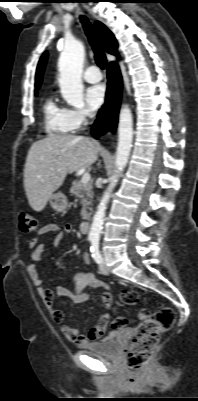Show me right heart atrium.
Wrapping results in <instances>:
<instances>
[{
	"mask_svg": "<svg viewBox=\"0 0 198 401\" xmlns=\"http://www.w3.org/2000/svg\"><path fill=\"white\" fill-rule=\"evenodd\" d=\"M68 112L74 129H79L93 117V113L87 108L68 109Z\"/></svg>",
	"mask_w": 198,
	"mask_h": 401,
	"instance_id": "d8ad5b80",
	"label": "right heart atrium"
}]
</instances>
